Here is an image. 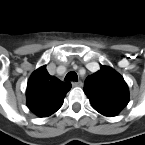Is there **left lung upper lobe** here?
<instances>
[{
    "mask_svg": "<svg viewBox=\"0 0 145 145\" xmlns=\"http://www.w3.org/2000/svg\"><path fill=\"white\" fill-rule=\"evenodd\" d=\"M84 92L93 108L104 116H116L129 102V89L123 77L109 66L87 77Z\"/></svg>",
    "mask_w": 145,
    "mask_h": 145,
    "instance_id": "1",
    "label": "left lung upper lobe"
}]
</instances>
